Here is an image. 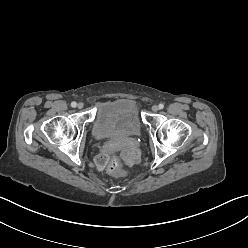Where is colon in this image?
I'll use <instances>...</instances> for the list:
<instances>
[{"instance_id": "1", "label": "colon", "mask_w": 248, "mask_h": 248, "mask_svg": "<svg viewBox=\"0 0 248 248\" xmlns=\"http://www.w3.org/2000/svg\"><path fill=\"white\" fill-rule=\"evenodd\" d=\"M92 164L95 167H104L107 165L109 174L114 177H121L124 175L123 163L118 157H113L108 161L106 155L99 154L93 157Z\"/></svg>"}]
</instances>
